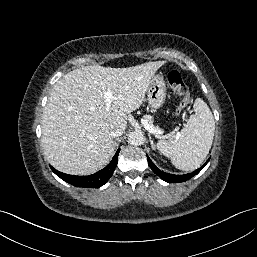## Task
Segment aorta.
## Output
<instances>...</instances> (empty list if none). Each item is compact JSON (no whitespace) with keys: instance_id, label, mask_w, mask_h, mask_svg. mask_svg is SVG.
I'll return each mask as SVG.
<instances>
[{"instance_id":"762f6f07","label":"aorta","mask_w":257,"mask_h":257,"mask_svg":"<svg viewBox=\"0 0 257 257\" xmlns=\"http://www.w3.org/2000/svg\"><path fill=\"white\" fill-rule=\"evenodd\" d=\"M144 142V136L141 132H131L128 136V143L134 146L142 145Z\"/></svg>"}]
</instances>
